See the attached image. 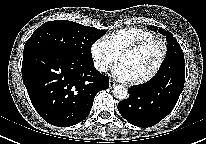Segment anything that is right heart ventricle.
Here are the masks:
<instances>
[{"mask_svg":"<svg viewBox=\"0 0 206 144\" xmlns=\"http://www.w3.org/2000/svg\"><path fill=\"white\" fill-rule=\"evenodd\" d=\"M150 36H153V34L148 30L129 27L110 33L105 40L112 51L118 56L125 47Z\"/></svg>","mask_w":206,"mask_h":144,"instance_id":"1","label":"right heart ventricle"}]
</instances>
